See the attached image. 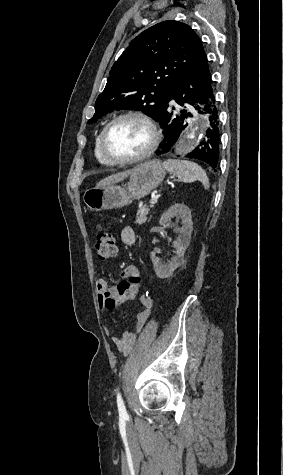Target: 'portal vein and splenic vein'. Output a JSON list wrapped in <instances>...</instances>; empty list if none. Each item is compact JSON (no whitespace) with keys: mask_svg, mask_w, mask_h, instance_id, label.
Wrapping results in <instances>:
<instances>
[{"mask_svg":"<svg viewBox=\"0 0 283 475\" xmlns=\"http://www.w3.org/2000/svg\"><path fill=\"white\" fill-rule=\"evenodd\" d=\"M157 196H154V198H152V200H150V204H157Z\"/></svg>","mask_w":283,"mask_h":475,"instance_id":"1","label":"portal vein and splenic vein"}]
</instances>
